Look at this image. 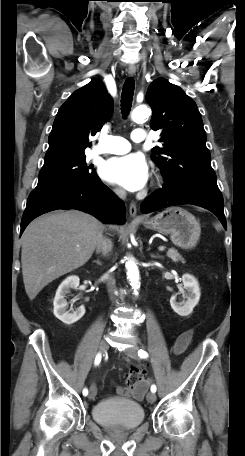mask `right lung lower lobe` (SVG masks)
Instances as JSON below:
<instances>
[{"instance_id": "obj_1", "label": "right lung lower lobe", "mask_w": 245, "mask_h": 456, "mask_svg": "<svg viewBox=\"0 0 245 456\" xmlns=\"http://www.w3.org/2000/svg\"><path fill=\"white\" fill-rule=\"evenodd\" d=\"M57 209H77L104 223H124L125 206L99 177L45 189H35L28 197L21 221L22 234L36 217Z\"/></svg>"}]
</instances>
